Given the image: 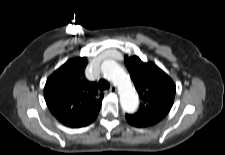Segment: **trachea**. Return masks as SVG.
Wrapping results in <instances>:
<instances>
[{"mask_svg": "<svg viewBox=\"0 0 225 155\" xmlns=\"http://www.w3.org/2000/svg\"><path fill=\"white\" fill-rule=\"evenodd\" d=\"M98 87L101 91H103L109 89L110 84L105 79H100L98 82Z\"/></svg>", "mask_w": 225, "mask_h": 155, "instance_id": "3493384b", "label": "trachea"}]
</instances>
